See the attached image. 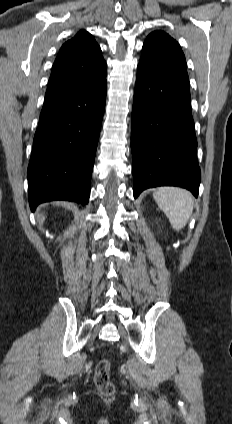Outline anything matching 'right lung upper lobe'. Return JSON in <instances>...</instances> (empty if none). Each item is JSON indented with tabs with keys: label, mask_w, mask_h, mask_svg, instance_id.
Here are the masks:
<instances>
[{
	"label": "right lung upper lobe",
	"mask_w": 232,
	"mask_h": 424,
	"mask_svg": "<svg viewBox=\"0 0 232 424\" xmlns=\"http://www.w3.org/2000/svg\"><path fill=\"white\" fill-rule=\"evenodd\" d=\"M106 78V62L93 36L85 30L78 32L61 47L53 64L45 94L90 86Z\"/></svg>",
	"instance_id": "cb5924a9"
}]
</instances>
